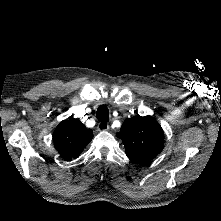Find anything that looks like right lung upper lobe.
Masks as SVG:
<instances>
[{"label":"right lung upper lobe","mask_w":221,"mask_h":221,"mask_svg":"<svg viewBox=\"0 0 221 221\" xmlns=\"http://www.w3.org/2000/svg\"><path fill=\"white\" fill-rule=\"evenodd\" d=\"M92 138V130L74 118L60 122L53 134L55 148L66 161L78 157Z\"/></svg>","instance_id":"cb5924a9"}]
</instances>
